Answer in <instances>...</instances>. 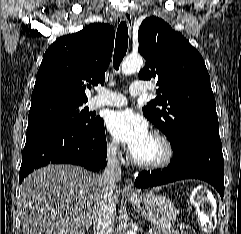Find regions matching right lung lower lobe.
<instances>
[{
  "mask_svg": "<svg viewBox=\"0 0 241 234\" xmlns=\"http://www.w3.org/2000/svg\"><path fill=\"white\" fill-rule=\"evenodd\" d=\"M106 156L103 119L90 132L64 126L27 130L19 181L22 182L30 172L47 164L70 163L98 171L105 166Z\"/></svg>",
  "mask_w": 241,
  "mask_h": 234,
  "instance_id": "98d812e1",
  "label": "right lung lower lobe"
}]
</instances>
